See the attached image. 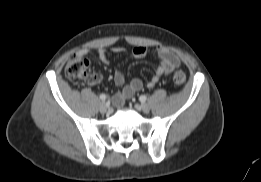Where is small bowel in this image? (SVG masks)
<instances>
[{
  "instance_id": "obj_1",
  "label": "small bowel",
  "mask_w": 261,
  "mask_h": 182,
  "mask_svg": "<svg viewBox=\"0 0 261 182\" xmlns=\"http://www.w3.org/2000/svg\"><path fill=\"white\" fill-rule=\"evenodd\" d=\"M92 51L93 50L91 48H84L78 51L76 53V56L85 57ZM111 51L113 53H122L125 51V49L123 47L117 46V47H112ZM154 51L158 56L159 62L156 66L154 75L147 83L148 88H153L162 77L167 76L180 65V60L178 56L175 55L172 51H170L166 47L159 46ZM148 52L149 50L146 47L138 46L131 51L130 56L134 59H140L145 57ZM97 56L103 63L109 62V56L106 49L104 48L97 49ZM113 80L116 86L123 87L121 91H119L113 96V102L116 105L123 104V102L127 98L131 97L133 94L141 90L143 87V82L139 78H133L129 82V84L124 86L125 76L123 71L120 69H117L115 71ZM100 81H101V76L98 74H92L90 79L87 80V82L90 84H97Z\"/></svg>"
}]
</instances>
